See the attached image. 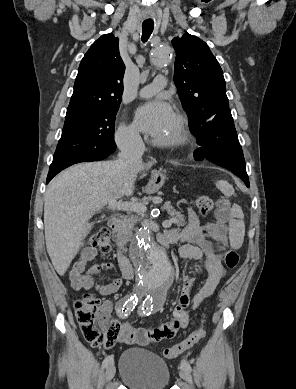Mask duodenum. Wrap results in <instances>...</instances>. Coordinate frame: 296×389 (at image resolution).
I'll list each match as a JSON object with an SVG mask.
<instances>
[{"label":"duodenum","mask_w":296,"mask_h":389,"mask_svg":"<svg viewBox=\"0 0 296 389\" xmlns=\"http://www.w3.org/2000/svg\"><path fill=\"white\" fill-rule=\"evenodd\" d=\"M119 225H120V221H119L118 217H116V216H112L108 220V226H109V228L114 236V239L117 243L120 242ZM160 243L163 246L168 247L170 244L174 243V240L167 235H162L160 237ZM118 260H119V264H120V268H121L123 276L126 279L132 278L134 271H133V267H132L130 261L124 255H122L120 252L118 253Z\"/></svg>","instance_id":"1"}]
</instances>
